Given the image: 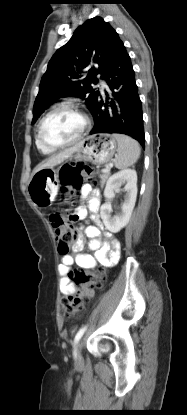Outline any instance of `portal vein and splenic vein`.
Returning <instances> with one entry per match:
<instances>
[{"label":"portal vein and splenic vein","instance_id":"portal-vein-and-splenic-vein-1","mask_svg":"<svg viewBox=\"0 0 187 415\" xmlns=\"http://www.w3.org/2000/svg\"><path fill=\"white\" fill-rule=\"evenodd\" d=\"M111 167H112V164H109L106 168L102 169V172H103V173H107V172H109V171H110V169H111Z\"/></svg>","mask_w":187,"mask_h":415}]
</instances>
